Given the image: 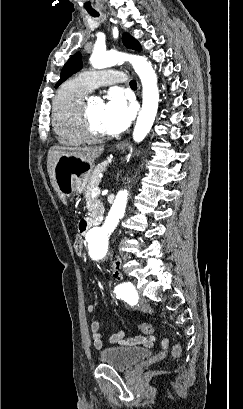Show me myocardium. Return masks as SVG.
<instances>
[{"instance_id": "f54148a6", "label": "myocardium", "mask_w": 243, "mask_h": 409, "mask_svg": "<svg viewBox=\"0 0 243 409\" xmlns=\"http://www.w3.org/2000/svg\"><path fill=\"white\" fill-rule=\"evenodd\" d=\"M80 120L83 132L88 140H100L104 137V134L97 132L92 127L89 113L88 102L83 101L80 107Z\"/></svg>"}]
</instances>
